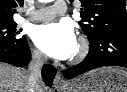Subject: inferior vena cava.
Instances as JSON below:
<instances>
[{
	"label": "inferior vena cava",
	"mask_w": 127,
	"mask_h": 92,
	"mask_svg": "<svg viewBox=\"0 0 127 92\" xmlns=\"http://www.w3.org/2000/svg\"><path fill=\"white\" fill-rule=\"evenodd\" d=\"M46 62V57L42 55L39 51H34L32 53V59L29 64L28 73V92H37L38 85L43 83L41 77V70Z\"/></svg>",
	"instance_id": "602c4592"
}]
</instances>
